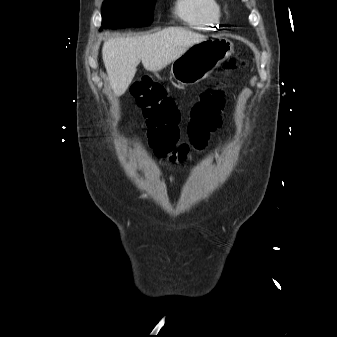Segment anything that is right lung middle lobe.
<instances>
[{
	"instance_id": "dd1d6c3e",
	"label": "right lung middle lobe",
	"mask_w": 337,
	"mask_h": 337,
	"mask_svg": "<svg viewBox=\"0 0 337 337\" xmlns=\"http://www.w3.org/2000/svg\"><path fill=\"white\" fill-rule=\"evenodd\" d=\"M156 0H104L103 28L142 27L150 25Z\"/></svg>"
}]
</instances>
